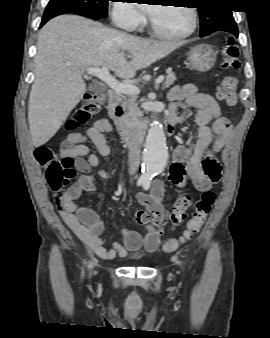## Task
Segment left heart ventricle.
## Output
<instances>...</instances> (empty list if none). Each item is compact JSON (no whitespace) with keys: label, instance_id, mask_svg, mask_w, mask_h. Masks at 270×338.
Listing matches in <instances>:
<instances>
[{"label":"left heart ventricle","instance_id":"obj_1","mask_svg":"<svg viewBox=\"0 0 270 338\" xmlns=\"http://www.w3.org/2000/svg\"><path fill=\"white\" fill-rule=\"evenodd\" d=\"M149 13L157 29L164 33H184L192 25V15L186 7L150 5Z\"/></svg>","mask_w":270,"mask_h":338}]
</instances>
